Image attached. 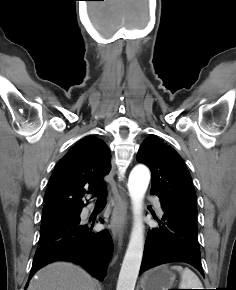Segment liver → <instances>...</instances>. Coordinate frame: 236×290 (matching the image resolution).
<instances>
[{
	"instance_id": "1",
	"label": "liver",
	"mask_w": 236,
	"mask_h": 290,
	"mask_svg": "<svg viewBox=\"0 0 236 290\" xmlns=\"http://www.w3.org/2000/svg\"><path fill=\"white\" fill-rule=\"evenodd\" d=\"M28 290H97V281L78 265L55 262L36 273Z\"/></svg>"
}]
</instances>
